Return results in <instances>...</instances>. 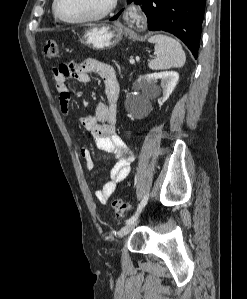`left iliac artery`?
<instances>
[{"mask_svg":"<svg viewBox=\"0 0 247 299\" xmlns=\"http://www.w3.org/2000/svg\"><path fill=\"white\" fill-rule=\"evenodd\" d=\"M148 195H145L144 198L142 199V201L140 202V204L137 207L136 212L134 213V215H132L127 221L126 224L128 223H132L134 221L137 220V218L139 217L140 213L142 212L143 208L145 207V205L148 202Z\"/></svg>","mask_w":247,"mask_h":299,"instance_id":"1","label":"left iliac artery"}]
</instances>
